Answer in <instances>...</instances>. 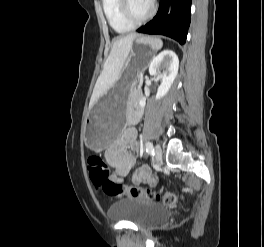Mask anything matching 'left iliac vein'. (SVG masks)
Masks as SVG:
<instances>
[{"label":"left iliac vein","mask_w":264,"mask_h":247,"mask_svg":"<svg viewBox=\"0 0 264 247\" xmlns=\"http://www.w3.org/2000/svg\"><path fill=\"white\" fill-rule=\"evenodd\" d=\"M162 156H163L162 149H161V147L159 145H157L155 147V151H154V157H155L156 161H161L162 160Z\"/></svg>","instance_id":"4c4485c4"}]
</instances>
